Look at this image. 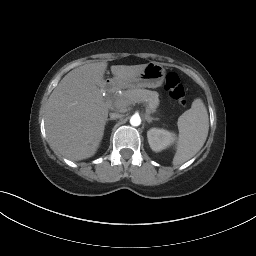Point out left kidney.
<instances>
[{"mask_svg": "<svg viewBox=\"0 0 256 256\" xmlns=\"http://www.w3.org/2000/svg\"><path fill=\"white\" fill-rule=\"evenodd\" d=\"M147 138L151 149L159 152L174 142L175 134L165 129L151 128L147 132Z\"/></svg>", "mask_w": 256, "mask_h": 256, "instance_id": "1", "label": "left kidney"}]
</instances>
